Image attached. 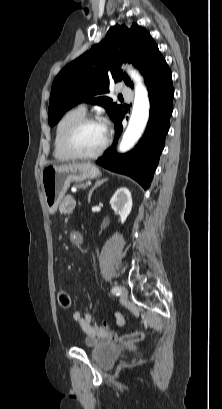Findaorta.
I'll return each instance as SVG.
<instances>
[{"instance_id":"1","label":"aorta","mask_w":222,"mask_h":409,"mask_svg":"<svg viewBox=\"0 0 222 409\" xmlns=\"http://www.w3.org/2000/svg\"><path fill=\"white\" fill-rule=\"evenodd\" d=\"M129 74L135 82V99L129 124L119 145V151L124 153L134 147L141 138L149 119L150 103L148 93L141 77L133 70Z\"/></svg>"}]
</instances>
